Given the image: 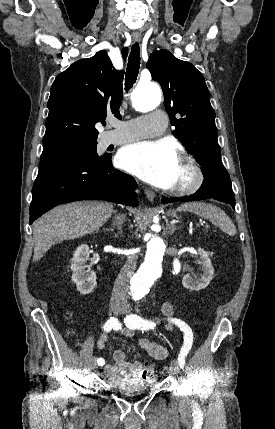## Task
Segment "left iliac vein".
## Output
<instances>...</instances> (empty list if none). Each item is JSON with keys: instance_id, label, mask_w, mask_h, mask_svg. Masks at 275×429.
I'll return each instance as SVG.
<instances>
[{"instance_id": "1", "label": "left iliac vein", "mask_w": 275, "mask_h": 429, "mask_svg": "<svg viewBox=\"0 0 275 429\" xmlns=\"http://www.w3.org/2000/svg\"><path fill=\"white\" fill-rule=\"evenodd\" d=\"M123 314L129 313V309L127 307H123L120 311ZM170 370L174 376H176L179 372V363L177 360H172L170 364Z\"/></svg>"}]
</instances>
